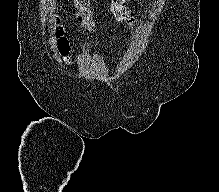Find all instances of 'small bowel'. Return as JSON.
Masks as SVG:
<instances>
[{
    "instance_id": "small-bowel-1",
    "label": "small bowel",
    "mask_w": 219,
    "mask_h": 192,
    "mask_svg": "<svg viewBox=\"0 0 219 192\" xmlns=\"http://www.w3.org/2000/svg\"><path fill=\"white\" fill-rule=\"evenodd\" d=\"M131 0H111L110 2V9L116 18V20L120 22H125L129 25H134L137 21L136 19L131 15L130 10L127 7V4ZM78 8V17L85 23L90 19V11L88 8H82L79 6H76ZM86 27V26H85Z\"/></svg>"
}]
</instances>
